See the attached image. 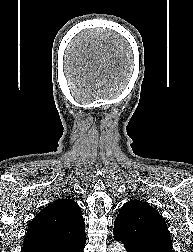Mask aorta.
Returning a JSON list of instances; mask_svg holds the SVG:
<instances>
[{"label":"aorta","mask_w":193,"mask_h":252,"mask_svg":"<svg viewBox=\"0 0 193 252\" xmlns=\"http://www.w3.org/2000/svg\"><path fill=\"white\" fill-rule=\"evenodd\" d=\"M109 252H126L124 245L120 242H113L108 249Z\"/></svg>","instance_id":"aorta-1"}]
</instances>
